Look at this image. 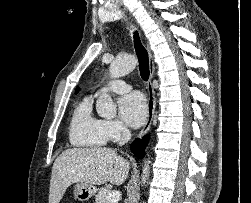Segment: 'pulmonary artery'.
Listing matches in <instances>:
<instances>
[{
    "mask_svg": "<svg viewBox=\"0 0 251 203\" xmlns=\"http://www.w3.org/2000/svg\"><path fill=\"white\" fill-rule=\"evenodd\" d=\"M131 85L127 84L122 79H116L111 82H109L107 86V90L115 92V93H124L131 90Z\"/></svg>",
    "mask_w": 251,
    "mask_h": 203,
    "instance_id": "1",
    "label": "pulmonary artery"
}]
</instances>
